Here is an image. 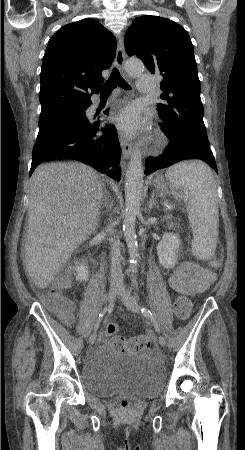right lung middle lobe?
Returning a JSON list of instances; mask_svg holds the SVG:
<instances>
[{
    "label": "right lung middle lobe",
    "instance_id": "right-lung-middle-lobe-1",
    "mask_svg": "<svg viewBox=\"0 0 245 450\" xmlns=\"http://www.w3.org/2000/svg\"><path fill=\"white\" fill-rule=\"evenodd\" d=\"M85 106L59 107L41 111L37 143L52 136L53 130L69 117L83 114Z\"/></svg>",
    "mask_w": 245,
    "mask_h": 450
}]
</instances>
